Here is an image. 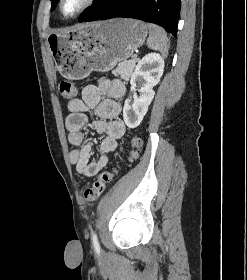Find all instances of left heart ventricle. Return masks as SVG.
Here are the masks:
<instances>
[{
  "instance_id": "left-heart-ventricle-1",
  "label": "left heart ventricle",
  "mask_w": 247,
  "mask_h": 280,
  "mask_svg": "<svg viewBox=\"0 0 247 280\" xmlns=\"http://www.w3.org/2000/svg\"><path fill=\"white\" fill-rule=\"evenodd\" d=\"M84 0H65L63 12L65 15L73 14L83 3Z\"/></svg>"
}]
</instances>
